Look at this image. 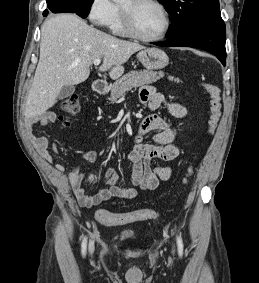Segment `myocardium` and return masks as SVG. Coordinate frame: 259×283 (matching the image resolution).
I'll list each match as a JSON object with an SVG mask.
<instances>
[{"label": "myocardium", "mask_w": 259, "mask_h": 283, "mask_svg": "<svg viewBox=\"0 0 259 283\" xmlns=\"http://www.w3.org/2000/svg\"><path fill=\"white\" fill-rule=\"evenodd\" d=\"M141 2H150L158 6L164 14L166 25L159 36L148 37L141 34L135 25L133 18V6ZM123 26L128 35L146 42H155L164 39L170 31L172 20L167 7L160 0H130V6L120 5Z\"/></svg>", "instance_id": "myocardium-1"}]
</instances>
